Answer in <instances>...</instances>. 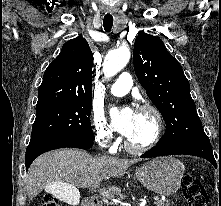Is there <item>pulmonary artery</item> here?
<instances>
[{
	"mask_svg": "<svg viewBox=\"0 0 221 206\" xmlns=\"http://www.w3.org/2000/svg\"><path fill=\"white\" fill-rule=\"evenodd\" d=\"M132 85V76L127 72H123L120 74L118 80L112 85L110 93L114 96H123L130 91Z\"/></svg>",
	"mask_w": 221,
	"mask_h": 206,
	"instance_id": "e3ab8cb5",
	"label": "pulmonary artery"
}]
</instances>
